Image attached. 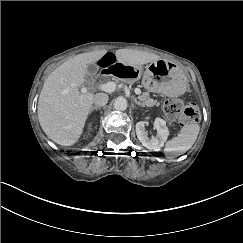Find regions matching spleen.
Listing matches in <instances>:
<instances>
[{"label": "spleen", "instance_id": "1", "mask_svg": "<svg viewBox=\"0 0 243 243\" xmlns=\"http://www.w3.org/2000/svg\"><path fill=\"white\" fill-rule=\"evenodd\" d=\"M200 132L198 124H188L181 128L178 137L168 141L165 145V153H185L192 148Z\"/></svg>", "mask_w": 243, "mask_h": 243}]
</instances>
